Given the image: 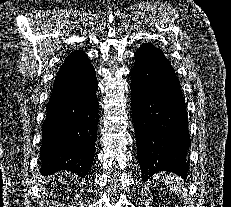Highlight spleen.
Returning a JSON list of instances; mask_svg holds the SVG:
<instances>
[{"instance_id": "1", "label": "spleen", "mask_w": 231, "mask_h": 207, "mask_svg": "<svg viewBox=\"0 0 231 207\" xmlns=\"http://www.w3.org/2000/svg\"><path fill=\"white\" fill-rule=\"evenodd\" d=\"M162 178L164 180V182L166 184H169L170 187L175 190V191H179L180 190V182H181V179L178 178V177H174V175L172 174H166V173H162Z\"/></svg>"}]
</instances>
